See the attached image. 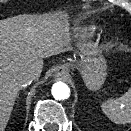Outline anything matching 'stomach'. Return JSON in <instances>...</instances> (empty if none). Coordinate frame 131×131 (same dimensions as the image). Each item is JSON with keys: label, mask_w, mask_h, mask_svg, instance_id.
I'll list each match as a JSON object with an SVG mask.
<instances>
[{"label": "stomach", "mask_w": 131, "mask_h": 131, "mask_svg": "<svg viewBox=\"0 0 131 131\" xmlns=\"http://www.w3.org/2000/svg\"><path fill=\"white\" fill-rule=\"evenodd\" d=\"M79 69L89 90L96 91L102 87L107 75V66L101 54L95 52L85 57Z\"/></svg>", "instance_id": "0dacf381"}]
</instances>
